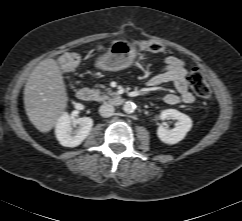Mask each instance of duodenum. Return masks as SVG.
Segmentation results:
<instances>
[{"label": "duodenum", "instance_id": "410a0bca", "mask_svg": "<svg viewBox=\"0 0 242 221\" xmlns=\"http://www.w3.org/2000/svg\"><path fill=\"white\" fill-rule=\"evenodd\" d=\"M77 97L81 101H94L96 99L95 92L89 87H81L77 91ZM124 102V98L120 96L113 97L109 100V103L113 106H120Z\"/></svg>", "mask_w": 242, "mask_h": 221}]
</instances>
